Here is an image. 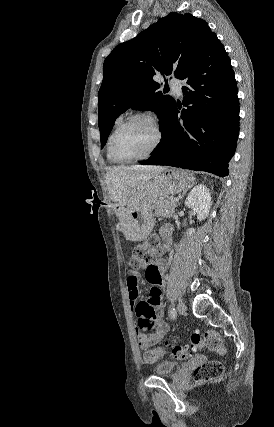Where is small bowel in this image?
I'll use <instances>...</instances> for the list:
<instances>
[{
	"mask_svg": "<svg viewBox=\"0 0 274 427\" xmlns=\"http://www.w3.org/2000/svg\"><path fill=\"white\" fill-rule=\"evenodd\" d=\"M168 263V259H160L155 262L159 271V277L157 276L155 267L150 266L149 269L141 272L137 271L136 274L130 271V276L127 278V297L131 306L135 305L139 297L138 284L140 282V275L148 278L146 280L152 285V288L148 291V299H139V304L135 305L133 313L136 327H142L143 332H155L149 335L137 331L136 336L141 349L143 345L156 344L169 329L159 299V293L161 295V290L165 286L164 275ZM148 313H151L150 317L152 320L147 319L149 316Z\"/></svg>",
	"mask_w": 274,
	"mask_h": 427,
	"instance_id": "c3829d8e",
	"label": "small bowel"
}]
</instances>
